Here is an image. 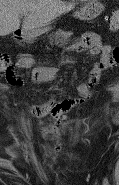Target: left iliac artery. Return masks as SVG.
<instances>
[{
  "mask_svg": "<svg viewBox=\"0 0 119 185\" xmlns=\"http://www.w3.org/2000/svg\"><path fill=\"white\" fill-rule=\"evenodd\" d=\"M103 185H108V180L106 178L103 180Z\"/></svg>",
  "mask_w": 119,
  "mask_h": 185,
  "instance_id": "left-iliac-artery-1",
  "label": "left iliac artery"
}]
</instances>
